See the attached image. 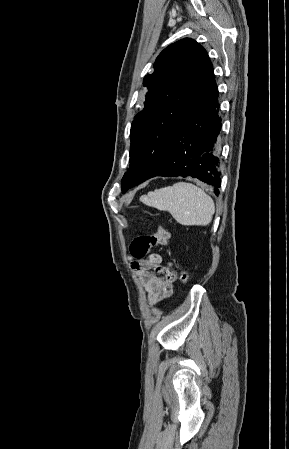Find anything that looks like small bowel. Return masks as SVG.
Wrapping results in <instances>:
<instances>
[{"label":"small bowel","instance_id":"obj_1","mask_svg":"<svg viewBox=\"0 0 289 449\" xmlns=\"http://www.w3.org/2000/svg\"><path fill=\"white\" fill-rule=\"evenodd\" d=\"M129 259L132 268L143 280L150 304H156L172 294L177 274L170 265H161L162 258L159 254H151L142 259L131 255Z\"/></svg>","mask_w":289,"mask_h":449}]
</instances>
